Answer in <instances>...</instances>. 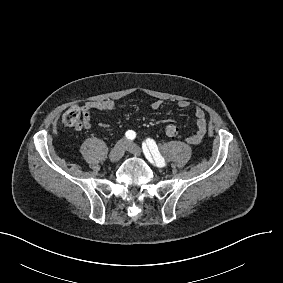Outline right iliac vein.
<instances>
[{"mask_svg": "<svg viewBox=\"0 0 283 283\" xmlns=\"http://www.w3.org/2000/svg\"><path fill=\"white\" fill-rule=\"evenodd\" d=\"M126 147V141L121 140L115 144L111 152L109 153V159L111 162L115 163L118 162L123 154Z\"/></svg>", "mask_w": 283, "mask_h": 283, "instance_id": "63e3f726", "label": "right iliac vein"}]
</instances>
